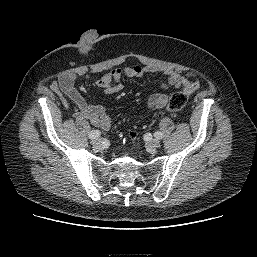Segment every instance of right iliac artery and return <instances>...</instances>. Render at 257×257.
<instances>
[{
  "label": "right iliac artery",
  "mask_w": 257,
  "mask_h": 257,
  "mask_svg": "<svg viewBox=\"0 0 257 257\" xmlns=\"http://www.w3.org/2000/svg\"><path fill=\"white\" fill-rule=\"evenodd\" d=\"M100 134H101V132L99 130H92L89 132L88 137L90 139H96L97 137L100 136Z\"/></svg>",
  "instance_id": "1"
}]
</instances>
